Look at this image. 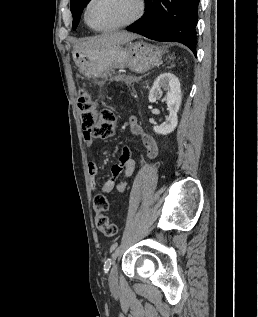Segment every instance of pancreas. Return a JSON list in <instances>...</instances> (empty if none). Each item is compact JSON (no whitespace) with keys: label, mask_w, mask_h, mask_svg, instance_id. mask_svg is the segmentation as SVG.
Here are the masks:
<instances>
[{"label":"pancreas","mask_w":258,"mask_h":317,"mask_svg":"<svg viewBox=\"0 0 258 317\" xmlns=\"http://www.w3.org/2000/svg\"><path fill=\"white\" fill-rule=\"evenodd\" d=\"M141 76H127V82H138V80H140ZM117 82L119 84H124L126 82V79L124 77H119L117 79Z\"/></svg>","instance_id":"cf45deb5"}]
</instances>
